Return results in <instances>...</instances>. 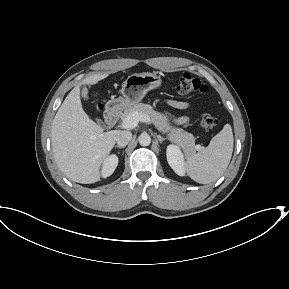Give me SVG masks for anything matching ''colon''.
Returning <instances> with one entry per match:
<instances>
[{"instance_id": "1", "label": "colon", "mask_w": 289, "mask_h": 289, "mask_svg": "<svg viewBox=\"0 0 289 289\" xmlns=\"http://www.w3.org/2000/svg\"><path fill=\"white\" fill-rule=\"evenodd\" d=\"M207 90V85L190 73H183L176 86V91L180 95L205 93ZM99 108H101V105H99ZM217 123V119L211 114H204L201 118V126L205 131H211Z\"/></svg>"}]
</instances>
